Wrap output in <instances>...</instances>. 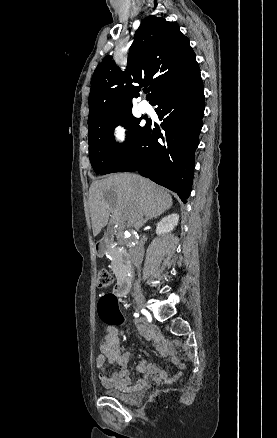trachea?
I'll return each mask as SVG.
<instances>
[{
  "instance_id": "3493384b",
  "label": "trachea",
  "mask_w": 277,
  "mask_h": 438,
  "mask_svg": "<svg viewBox=\"0 0 277 438\" xmlns=\"http://www.w3.org/2000/svg\"><path fill=\"white\" fill-rule=\"evenodd\" d=\"M144 93H149V90H144Z\"/></svg>"
}]
</instances>
